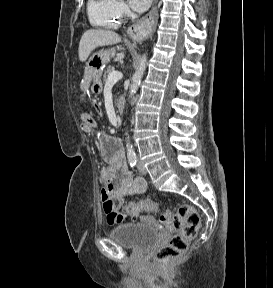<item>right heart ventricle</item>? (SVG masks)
<instances>
[{"mask_svg": "<svg viewBox=\"0 0 273 288\" xmlns=\"http://www.w3.org/2000/svg\"><path fill=\"white\" fill-rule=\"evenodd\" d=\"M87 13L94 26L115 29L122 23V17L115 7V0H88Z\"/></svg>", "mask_w": 273, "mask_h": 288, "instance_id": "1", "label": "right heart ventricle"}]
</instances>
